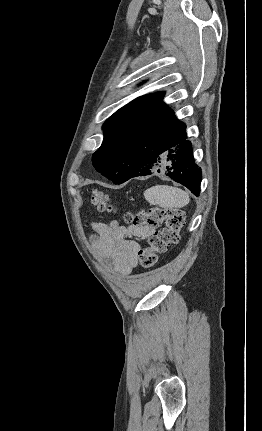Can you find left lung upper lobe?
I'll return each mask as SVG.
<instances>
[{
  "mask_svg": "<svg viewBox=\"0 0 262 431\" xmlns=\"http://www.w3.org/2000/svg\"><path fill=\"white\" fill-rule=\"evenodd\" d=\"M163 96L164 92H159L138 97L104 123V140L93 154L92 163L113 183L128 180L139 150H151L159 140L184 125L162 102Z\"/></svg>",
  "mask_w": 262,
  "mask_h": 431,
  "instance_id": "1",
  "label": "left lung upper lobe"
}]
</instances>
